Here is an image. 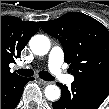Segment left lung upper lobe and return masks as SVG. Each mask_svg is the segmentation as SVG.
Listing matches in <instances>:
<instances>
[{
    "label": "left lung upper lobe",
    "instance_id": "left-lung-upper-lobe-1",
    "mask_svg": "<svg viewBox=\"0 0 109 109\" xmlns=\"http://www.w3.org/2000/svg\"><path fill=\"white\" fill-rule=\"evenodd\" d=\"M40 25L63 45L65 62L76 81L109 90V31L103 24L86 14L69 12Z\"/></svg>",
    "mask_w": 109,
    "mask_h": 109
}]
</instances>
